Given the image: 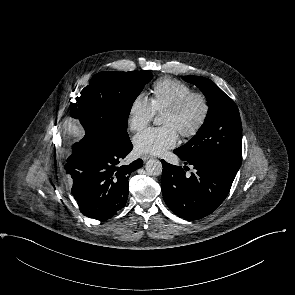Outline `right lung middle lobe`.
Returning <instances> with one entry per match:
<instances>
[{
    "instance_id": "dd1d6c3e",
    "label": "right lung middle lobe",
    "mask_w": 295,
    "mask_h": 295,
    "mask_svg": "<svg viewBox=\"0 0 295 295\" xmlns=\"http://www.w3.org/2000/svg\"><path fill=\"white\" fill-rule=\"evenodd\" d=\"M152 79L149 71L97 73L70 106V116L85 133L97 134L115 144L129 140L127 123L133 102Z\"/></svg>"
}]
</instances>
